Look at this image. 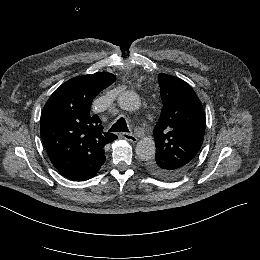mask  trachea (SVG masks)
<instances>
[{
    "instance_id": "1",
    "label": "trachea",
    "mask_w": 260,
    "mask_h": 260,
    "mask_svg": "<svg viewBox=\"0 0 260 260\" xmlns=\"http://www.w3.org/2000/svg\"><path fill=\"white\" fill-rule=\"evenodd\" d=\"M110 132H128L126 121L123 117L119 118L109 129Z\"/></svg>"
}]
</instances>
